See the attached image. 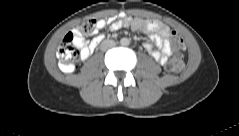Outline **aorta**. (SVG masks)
<instances>
[{
    "mask_svg": "<svg viewBox=\"0 0 239 136\" xmlns=\"http://www.w3.org/2000/svg\"><path fill=\"white\" fill-rule=\"evenodd\" d=\"M120 43L124 46H127V45H129L130 41L127 38H122Z\"/></svg>",
    "mask_w": 239,
    "mask_h": 136,
    "instance_id": "762f6f07",
    "label": "aorta"
}]
</instances>
